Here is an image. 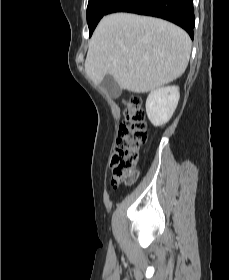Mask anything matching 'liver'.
Segmentation results:
<instances>
[{
  "label": "liver",
  "instance_id": "6515ba94",
  "mask_svg": "<svg viewBox=\"0 0 229 280\" xmlns=\"http://www.w3.org/2000/svg\"><path fill=\"white\" fill-rule=\"evenodd\" d=\"M190 53L191 39L180 27L153 17L115 13L96 27L85 72L96 85L109 74L120 88L147 93L180 77Z\"/></svg>",
  "mask_w": 229,
  "mask_h": 280
}]
</instances>
